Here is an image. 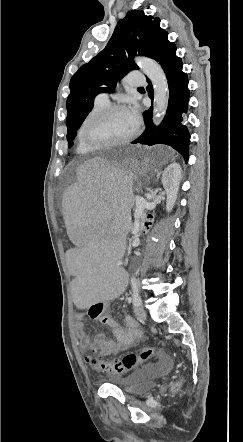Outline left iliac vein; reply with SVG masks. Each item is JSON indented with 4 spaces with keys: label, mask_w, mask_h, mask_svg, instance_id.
Listing matches in <instances>:
<instances>
[{
    "label": "left iliac vein",
    "mask_w": 243,
    "mask_h": 442,
    "mask_svg": "<svg viewBox=\"0 0 243 442\" xmlns=\"http://www.w3.org/2000/svg\"><path fill=\"white\" fill-rule=\"evenodd\" d=\"M135 314L140 319L146 318V311L141 304L135 307Z\"/></svg>",
    "instance_id": "4c4485c4"
}]
</instances>
